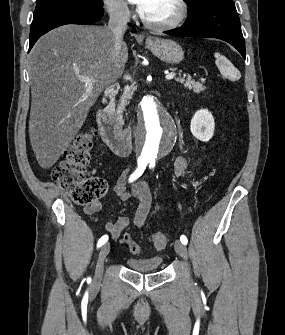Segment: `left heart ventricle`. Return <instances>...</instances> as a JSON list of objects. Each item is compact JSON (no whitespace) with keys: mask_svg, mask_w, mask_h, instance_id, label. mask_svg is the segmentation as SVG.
I'll return each instance as SVG.
<instances>
[{"mask_svg":"<svg viewBox=\"0 0 285 335\" xmlns=\"http://www.w3.org/2000/svg\"><path fill=\"white\" fill-rule=\"evenodd\" d=\"M178 9L173 1H151V6L145 21L153 25H161L173 20Z\"/></svg>","mask_w":285,"mask_h":335,"instance_id":"1","label":"left heart ventricle"}]
</instances>
